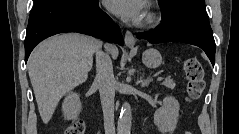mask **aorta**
<instances>
[{
  "mask_svg": "<svg viewBox=\"0 0 239 134\" xmlns=\"http://www.w3.org/2000/svg\"><path fill=\"white\" fill-rule=\"evenodd\" d=\"M132 126V111L128 102H124L121 107L120 116L117 122L118 134H130Z\"/></svg>",
  "mask_w": 239,
  "mask_h": 134,
  "instance_id": "obj_1",
  "label": "aorta"
}]
</instances>
